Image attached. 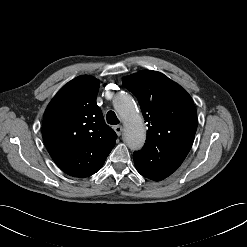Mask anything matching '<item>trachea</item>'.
<instances>
[{
	"mask_svg": "<svg viewBox=\"0 0 247 247\" xmlns=\"http://www.w3.org/2000/svg\"><path fill=\"white\" fill-rule=\"evenodd\" d=\"M106 119H107V123L111 124V125H117V124L120 123V121L118 120L116 114L113 111H109L107 113Z\"/></svg>",
	"mask_w": 247,
	"mask_h": 247,
	"instance_id": "obj_1",
	"label": "trachea"
}]
</instances>
